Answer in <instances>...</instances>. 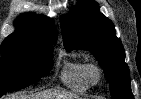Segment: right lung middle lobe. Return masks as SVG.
Here are the masks:
<instances>
[{"label":"right lung middle lobe","instance_id":"right-lung-middle-lobe-1","mask_svg":"<svg viewBox=\"0 0 141 99\" xmlns=\"http://www.w3.org/2000/svg\"><path fill=\"white\" fill-rule=\"evenodd\" d=\"M53 44L4 40L0 46V96L47 75L52 67Z\"/></svg>","mask_w":141,"mask_h":99}]
</instances>
